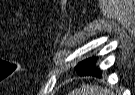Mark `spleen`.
<instances>
[{
    "label": "spleen",
    "instance_id": "3e777b00",
    "mask_svg": "<svg viewBox=\"0 0 135 95\" xmlns=\"http://www.w3.org/2000/svg\"><path fill=\"white\" fill-rule=\"evenodd\" d=\"M69 95H110L106 88L83 84L80 88L73 90Z\"/></svg>",
    "mask_w": 135,
    "mask_h": 95
}]
</instances>
